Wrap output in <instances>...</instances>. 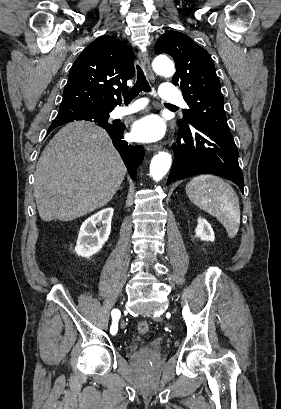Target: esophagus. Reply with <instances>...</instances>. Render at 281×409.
I'll return each instance as SVG.
<instances>
[{
  "mask_svg": "<svg viewBox=\"0 0 281 409\" xmlns=\"http://www.w3.org/2000/svg\"><path fill=\"white\" fill-rule=\"evenodd\" d=\"M138 57H139V61H140L141 65L143 66L148 78L150 80H154L155 79L154 73H153V71L151 69L150 61H149V57H148L147 53L145 51H139L138 52ZM159 148H160L159 145H149V146L146 147V149L149 150V151H154V150H157Z\"/></svg>",
  "mask_w": 281,
  "mask_h": 409,
  "instance_id": "obj_1",
  "label": "esophagus"
}]
</instances>
